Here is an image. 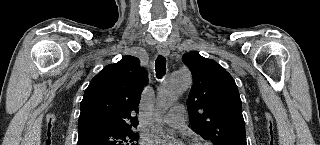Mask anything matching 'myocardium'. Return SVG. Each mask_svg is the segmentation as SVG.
<instances>
[{"mask_svg": "<svg viewBox=\"0 0 320 145\" xmlns=\"http://www.w3.org/2000/svg\"><path fill=\"white\" fill-rule=\"evenodd\" d=\"M190 144H191V145H208L206 142H204V141H198V140L193 141V142H191Z\"/></svg>", "mask_w": 320, "mask_h": 145, "instance_id": "f54148a6", "label": "myocardium"}]
</instances>
